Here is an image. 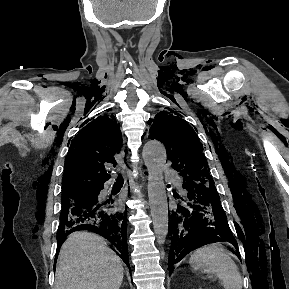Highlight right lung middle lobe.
<instances>
[{
	"mask_svg": "<svg viewBox=\"0 0 289 289\" xmlns=\"http://www.w3.org/2000/svg\"><path fill=\"white\" fill-rule=\"evenodd\" d=\"M95 198L94 191L81 192L70 196H62V216L69 215L72 211L79 209L84 204L92 201Z\"/></svg>",
	"mask_w": 289,
	"mask_h": 289,
	"instance_id": "dd1d6c3e",
	"label": "right lung middle lobe"
}]
</instances>
